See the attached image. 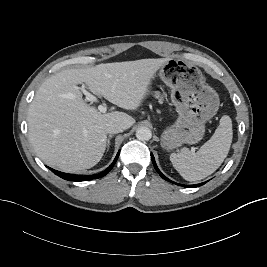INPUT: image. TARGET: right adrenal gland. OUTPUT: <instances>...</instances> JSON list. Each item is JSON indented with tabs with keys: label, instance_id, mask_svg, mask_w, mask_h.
<instances>
[{
	"label": "right adrenal gland",
	"instance_id": "1",
	"mask_svg": "<svg viewBox=\"0 0 267 267\" xmlns=\"http://www.w3.org/2000/svg\"><path fill=\"white\" fill-rule=\"evenodd\" d=\"M113 137V135H109L108 139H107V149H109V145H110V140Z\"/></svg>",
	"mask_w": 267,
	"mask_h": 267
}]
</instances>
